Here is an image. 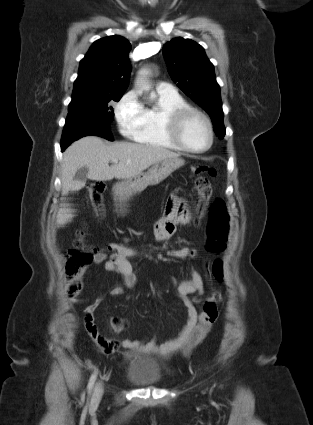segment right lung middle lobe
Returning a JSON list of instances; mask_svg holds the SVG:
<instances>
[{
	"label": "right lung middle lobe",
	"mask_w": 313,
	"mask_h": 425,
	"mask_svg": "<svg viewBox=\"0 0 313 425\" xmlns=\"http://www.w3.org/2000/svg\"><path fill=\"white\" fill-rule=\"evenodd\" d=\"M123 93H111L102 95H87L80 97H72L68 106V116L66 123L72 121L75 115H90L101 118L105 122L112 121L113 107L110 102H118Z\"/></svg>",
	"instance_id": "1"
}]
</instances>
